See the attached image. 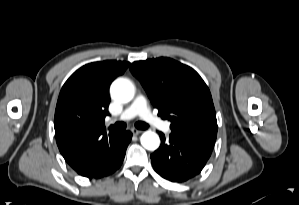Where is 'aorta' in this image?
Wrapping results in <instances>:
<instances>
[{"mask_svg": "<svg viewBox=\"0 0 299 205\" xmlns=\"http://www.w3.org/2000/svg\"><path fill=\"white\" fill-rule=\"evenodd\" d=\"M111 96L119 102H129L134 96V87L130 81L126 79H117L111 85ZM142 146L154 151L160 145L159 136L152 131H146L140 138Z\"/></svg>", "mask_w": 299, "mask_h": 205, "instance_id": "aorta-1", "label": "aorta"}]
</instances>
